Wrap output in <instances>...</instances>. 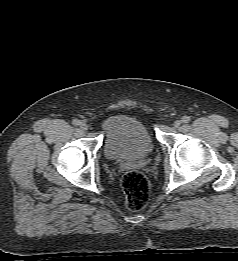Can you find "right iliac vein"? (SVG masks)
Instances as JSON below:
<instances>
[{
	"label": "right iliac vein",
	"instance_id": "obj_1",
	"mask_svg": "<svg viewBox=\"0 0 238 261\" xmlns=\"http://www.w3.org/2000/svg\"><path fill=\"white\" fill-rule=\"evenodd\" d=\"M80 129H81L82 131H87L88 126H87L85 123H81V124H80Z\"/></svg>",
	"mask_w": 238,
	"mask_h": 261
}]
</instances>
